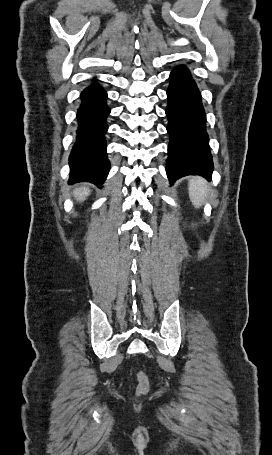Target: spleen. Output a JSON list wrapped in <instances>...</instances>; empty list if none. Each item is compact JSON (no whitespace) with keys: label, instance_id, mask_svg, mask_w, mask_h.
Masks as SVG:
<instances>
[{"label":"spleen","instance_id":"1","mask_svg":"<svg viewBox=\"0 0 272 455\" xmlns=\"http://www.w3.org/2000/svg\"><path fill=\"white\" fill-rule=\"evenodd\" d=\"M189 198L195 208H200L207 198L208 184L202 177H193L188 186Z\"/></svg>","mask_w":272,"mask_h":455}]
</instances>
